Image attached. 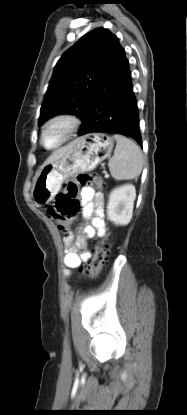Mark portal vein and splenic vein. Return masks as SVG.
<instances>
[{
  "label": "portal vein and splenic vein",
  "mask_w": 187,
  "mask_h": 415,
  "mask_svg": "<svg viewBox=\"0 0 187 415\" xmlns=\"http://www.w3.org/2000/svg\"><path fill=\"white\" fill-rule=\"evenodd\" d=\"M105 177H106V178H108V177H109V175H108V174H105Z\"/></svg>",
  "instance_id": "18ae733b"
}]
</instances>
